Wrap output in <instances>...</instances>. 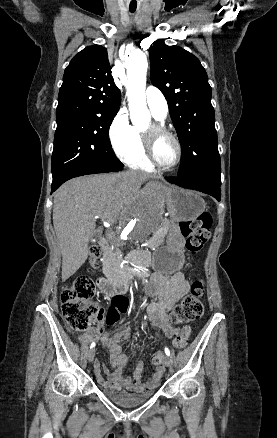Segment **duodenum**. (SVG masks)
<instances>
[{"mask_svg": "<svg viewBox=\"0 0 277 438\" xmlns=\"http://www.w3.org/2000/svg\"><path fill=\"white\" fill-rule=\"evenodd\" d=\"M102 250L107 249V243L105 241L100 242ZM152 263L151 254L147 251H134L126 258V265L130 269L135 266H150ZM130 272L120 276L114 280L102 279L99 281L100 290L106 295H118L128 291L130 287Z\"/></svg>", "mask_w": 277, "mask_h": 438, "instance_id": "1", "label": "duodenum"}]
</instances>
